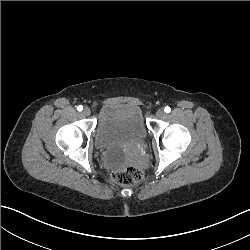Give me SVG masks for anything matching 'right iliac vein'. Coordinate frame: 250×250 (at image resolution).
Here are the masks:
<instances>
[{"instance_id":"63e3f726","label":"right iliac vein","mask_w":250,"mask_h":250,"mask_svg":"<svg viewBox=\"0 0 250 250\" xmlns=\"http://www.w3.org/2000/svg\"><path fill=\"white\" fill-rule=\"evenodd\" d=\"M83 114H84L85 116H89V115L91 114L90 108H88V107L84 108Z\"/></svg>"}]
</instances>
